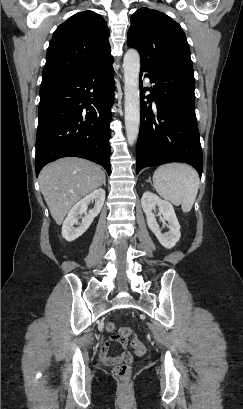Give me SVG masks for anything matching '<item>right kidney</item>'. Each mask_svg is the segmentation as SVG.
Segmentation results:
<instances>
[{
    "label": "right kidney",
    "instance_id": "1",
    "mask_svg": "<svg viewBox=\"0 0 243 409\" xmlns=\"http://www.w3.org/2000/svg\"><path fill=\"white\" fill-rule=\"evenodd\" d=\"M105 200V190L99 188L85 196L82 200L77 202L69 211L63 226H62V237L68 241H74L80 237L89 228L94 218L100 213ZM95 201V206L93 209L86 214L88 205ZM85 214L82 218V222L78 227L74 228L75 224H78L79 216Z\"/></svg>",
    "mask_w": 243,
    "mask_h": 409
}]
</instances>
